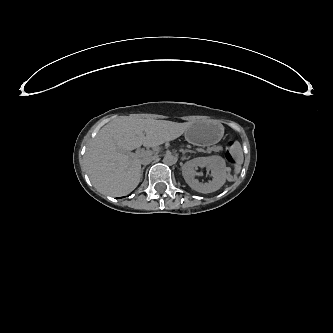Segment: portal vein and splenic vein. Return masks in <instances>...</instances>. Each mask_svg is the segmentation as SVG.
Segmentation results:
<instances>
[{"instance_id": "1", "label": "portal vein and splenic vein", "mask_w": 333, "mask_h": 333, "mask_svg": "<svg viewBox=\"0 0 333 333\" xmlns=\"http://www.w3.org/2000/svg\"><path fill=\"white\" fill-rule=\"evenodd\" d=\"M152 154L151 150H144L141 152H138L137 154L131 153V155H137L138 157H143V158H147Z\"/></svg>"}]
</instances>
